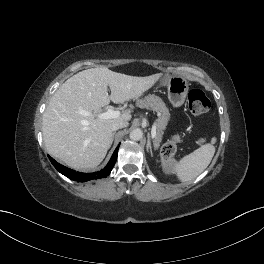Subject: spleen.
I'll list each match as a JSON object with an SVG mask.
<instances>
[{
    "label": "spleen",
    "instance_id": "1",
    "mask_svg": "<svg viewBox=\"0 0 264 264\" xmlns=\"http://www.w3.org/2000/svg\"><path fill=\"white\" fill-rule=\"evenodd\" d=\"M215 153V146L207 143L183 157L171 168L181 182H188L200 175L210 164Z\"/></svg>",
    "mask_w": 264,
    "mask_h": 264
}]
</instances>
